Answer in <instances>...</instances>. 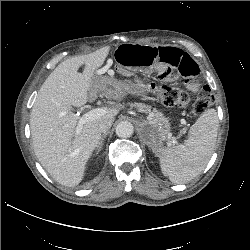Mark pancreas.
I'll use <instances>...</instances> for the list:
<instances>
[{
  "mask_svg": "<svg viewBox=\"0 0 250 250\" xmlns=\"http://www.w3.org/2000/svg\"><path fill=\"white\" fill-rule=\"evenodd\" d=\"M134 106H136L137 108L139 109H142L144 111H147V112H150L151 111V107L150 106H147V105H144V104H138V103H135ZM154 115L158 118V119H162V114L158 111H154Z\"/></svg>",
  "mask_w": 250,
  "mask_h": 250,
  "instance_id": "pancreas-1",
  "label": "pancreas"
}]
</instances>
